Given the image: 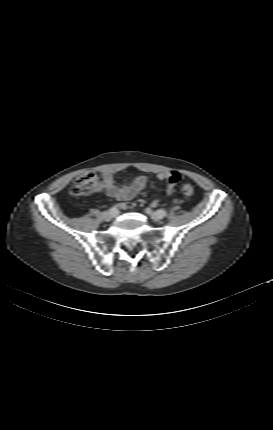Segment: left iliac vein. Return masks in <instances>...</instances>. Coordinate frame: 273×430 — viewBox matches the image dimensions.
Wrapping results in <instances>:
<instances>
[{"label": "left iliac vein", "instance_id": "1", "mask_svg": "<svg viewBox=\"0 0 273 430\" xmlns=\"http://www.w3.org/2000/svg\"><path fill=\"white\" fill-rule=\"evenodd\" d=\"M146 213L155 221H159L162 219L158 212H153L151 209H147Z\"/></svg>", "mask_w": 273, "mask_h": 430}]
</instances>
